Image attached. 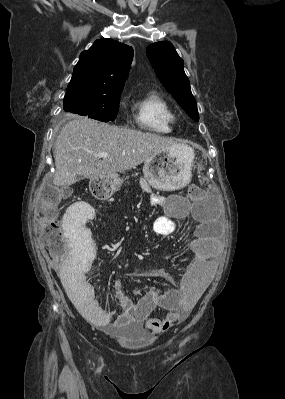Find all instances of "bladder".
I'll return each mask as SVG.
<instances>
[{
  "label": "bladder",
  "mask_w": 285,
  "mask_h": 399,
  "mask_svg": "<svg viewBox=\"0 0 285 399\" xmlns=\"http://www.w3.org/2000/svg\"><path fill=\"white\" fill-rule=\"evenodd\" d=\"M131 350L140 351L148 346L149 337L141 332H137L131 336H119L116 339Z\"/></svg>",
  "instance_id": "obj_1"
}]
</instances>
